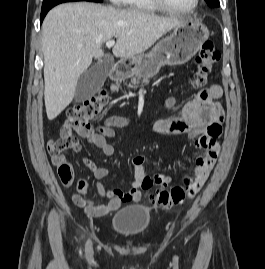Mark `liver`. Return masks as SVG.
Instances as JSON below:
<instances>
[{
	"instance_id": "liver-1",
	"label": "liver",
	"mask_w": 265,
	"mask_h": 269,
	"mask_svg": "<svg viewBox=\"0 0 265 269\" xmlns=\"http://www.w3.org/2000/svg\"><path fill=\"white\" fill-rule=\"evenodd\" d=\"M183 20L96 3H64L46 15L42 25L44 100L49 120L73 100L80 76L93 58L104 56L102 45L117 37L115 57L132 58L149 49Z\"/></svg>"
}]
</instances>
